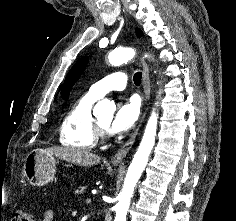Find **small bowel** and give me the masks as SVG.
<instances>
[{"mask_svg": "<svg viewBox=\"0 0 236 221\" xmlns=\"http://www.w3.org/2000/svg\"><path fill=\"white\" fill-rule=\"evenodd\" d=\"M42 221H55L54 211L53 210H46Z\"/></svg>", "mask_w": 236, "mask_h": 221, "instance_id": "obj_1", "label": "small bowel"}]
</instances>
